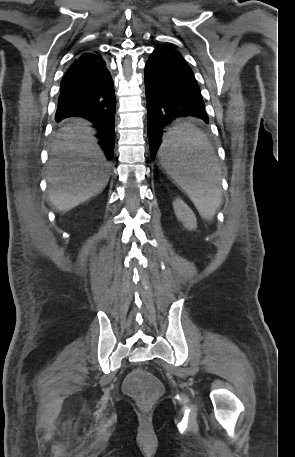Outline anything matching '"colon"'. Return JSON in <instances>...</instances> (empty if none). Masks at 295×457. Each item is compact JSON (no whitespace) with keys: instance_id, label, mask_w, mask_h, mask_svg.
Returning <instances> with one entry per match:
<instances>
[{"instance_id":"5ec220e1","label":"colon","mask_w":295,"mask_h":457,"mask_svg":"<svg viewBox=\"0 0 295 457\" xmlns=\"http://www.w3.org/2000/svg\"><path fill=\"white\" fill-rule=\"evenodd\" d=\"M124 387L143 404L150 403L161 391L157 374H147L146 369H135L134 374L128 375Z\"/></svg>"}]
</instances>
